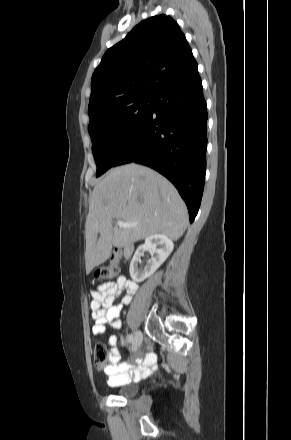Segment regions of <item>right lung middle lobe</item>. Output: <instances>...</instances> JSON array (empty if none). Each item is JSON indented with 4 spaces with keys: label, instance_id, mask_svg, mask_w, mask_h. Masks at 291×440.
Segmentation results:
<instances>
[{
    "label": "right lung middle lobe",
    "instance_id": "1",
    "mask_svg": "<svg viewBox=\"0 0 291 440\" xmlns=\"http://www.w3.org/2000/svg\"><path fill=\"white\" fill-rule=\"evenodd\" d=\"M153 98L148 95L135 96L101 104L89 111L88 130L97 177L113 166L120 151L152 109Z\"/></svg>",
    "mask_w": 291,
    "mask_h": 440
}]
</instances>
